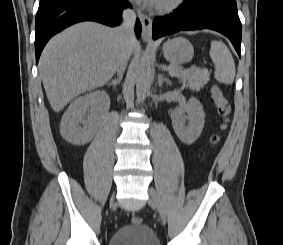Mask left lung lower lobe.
<instances>
[{"label": "left lung lower lobe", "instance_id": "obj_1", "mask_svg": "<svg viewBox=\"0 0 283 245\" xmlns=\"http://www.w3.org/2000/svg\"><path fill=\"white\" fill-rule=\"evenodd\" d=\"M212 29L230 39L241 57L242 26L237 9L224 5H191L184 1L174 13L156 17L153 22V38L178 31Z\"/></svg>", "mask_w": 283, "mask_h": 245}]
</instances>
